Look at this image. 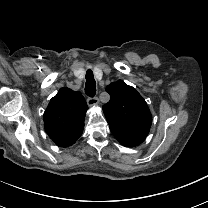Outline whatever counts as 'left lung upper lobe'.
<instances>
[{"instance_id": "5c2ea615", "label": "left lung upper lobe", "mask_w": 208, "mask_h": 208, "mask_svg": "<svg viewBox=\"0 0 208 208\" xmlns=\"http://www.w3.org/2000/svg\"><path fill=\"white\" fill-rule=\"evenodd\" d=\"M110 101L102 109L109 127L136 133L149 132L152 116L145 100L122 80L106 87Z\"/></svg>"}]
</instances>
